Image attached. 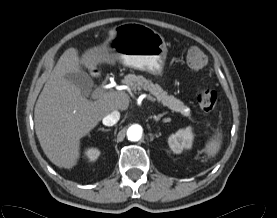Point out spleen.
<instances>
[{
  "label": "spleen",
  "instance_id": "3e777b00",
  "mask_svg": "<svg viewBox=\"0 0 277 218\" xmlns=\"http://www.w3.org/2000/svg\"><path fill=\"white\" fill-rule=\"evenodd\" d=\"M222 144V132L218 129L216 133L209 139L205 146V153L209 157H214Z\"/></svg>",
  "mask_w": 277,
  "mask_h": 218
}]
</instances>
